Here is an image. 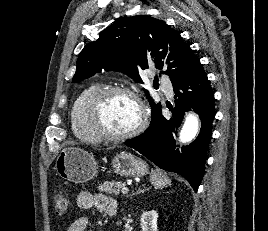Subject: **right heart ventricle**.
Wrapping results in <instances>:
<instances>
[{"label":"right heart ventricle","instance_id":"1","mask_svg":"<svg viewBox=\"0 0 268 231\" xmlns=\"http://www.w3.org/2000/svg\"><path fill=\"white\" fill-rule=\"evenodd\" d=\"M101 88L102 86L98 82L90 83L81 91L70 107L72 131L76 137L86 142L94 143L101 140L91 130L87 121L88 103L92 96Z\"/></svg>","mask_w":268,"mask_h":231}]
</instances>
